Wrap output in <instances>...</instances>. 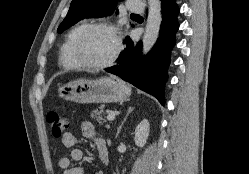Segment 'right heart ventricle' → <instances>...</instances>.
Here are the masks:
<instances>
[{
	"label": "right heart ventricle",
	"instance_id": "e07e8e85",
	"mask_svg": "<svg viewBox=\"0 0 249 174\" xmlns=\"http://www.w3.org/2000/svg\"><path fill=\"white\" fill-rule=\"evenodd\" d=\"M87 26L86 23H80L73 27L66 39L65 42L63 43L61 47V52H60V60L61 64L64 68L69 69V70H77L80 68L78 65L74 55H73V46L74 43L79 36V34L82 32V30Z\"/></svg>",
	"mask_w": 249,
	"mask_h": 174
}]
</instances>
